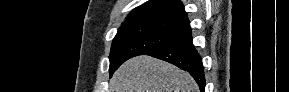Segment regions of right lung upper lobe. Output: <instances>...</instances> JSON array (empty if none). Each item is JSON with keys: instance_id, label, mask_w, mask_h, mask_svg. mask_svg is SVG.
Here are the masks:
<instances>
[{"instance_id": "obj_1", "label": "right lung upper lobe", "mask_w": 289, "mask_h": 92, "mask_svg": "<svg viewBox=\"0 0 289 92\" xmlns=\"http://www.w3.org/2000/svg\"><path fill=\"white\" fill-rule=\"evenodd\" d=\"M151 19L190 26L189 19L179 0H149L134 9L126 20Z\"/></svg>"}]
</instances>
